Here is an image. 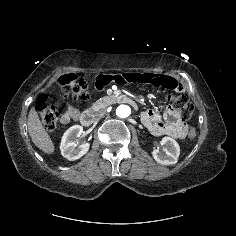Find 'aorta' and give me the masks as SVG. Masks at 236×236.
I'll use <instances>...</instances> for the list:
<instances>
[{"label": "aorta", "mask_w": 236, "mask_h": 236, "mask_svg": "<svg viewBox=\"0 0 236 236\" xmlns=\"http://www.w3.org/2000/svg\"><path fill=\"white\" fill-rule=\"evenodd\" d=\"M115 113L117 117L124 119L130 116L131 108L128 105H119Z\"/></svg>", "instance_id": "762f6f07"}]
</instances>
